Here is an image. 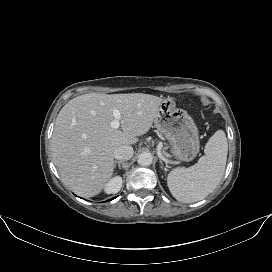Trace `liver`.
I'll return each mask as SVG.
<instances>
[{
    "mask_svg": "<svg viewBox=\"0 0 272 272\" xmlns=\"http://www.w3.org/2000/svg\"><path fill=\"white\" fill-rule=\"evenodd\" d=\"M162 101L143 93H90L70 100L58 113L51 139L63 183L81 197L99 194L113 175L114 150L149 131ZM114 110L121 113L122 131L111 127Z\"/></svg>",
    "mask_w": 272,
    "mask_h": 272,
    "instance_id": "liver-1",
    "label": "liver"
}]
</instances>
